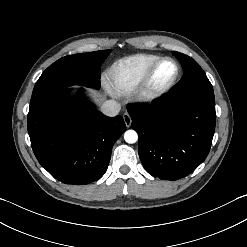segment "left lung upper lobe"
Segmentation results:
<instances>
[{"instance_id": "left-lung-upper-lobe-1", "label": "left lung upper lobe", "mask_w": 247, "mask_h": 247, "mask_svg": "<svg viewBox=\"0 0 247 247\" xmlns=\"http://www.w3.org/2000/svg\"><path fill=\"white\" fill-rule=\"evenodd\" d=\"M173 54L181 62L184 69V76L170 93L173 97L195 93H213V87L205 72L194 59L175 51Z\"/></svg>"}]
</instances>
